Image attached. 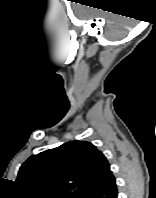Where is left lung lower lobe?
I'll list each match as a JSON object with an SVG mask.
<instances>
[{
    "instance_id": "obj_1",
    "label": "left lung lower lobe",
    "mask_w": 156,
    "mask_h": 198,
    "mask_svg": "<svg viewBox=\"0 0 156 198\" xmlns=\"http://www.w3.org/2000/svg\"><path fill=\"white\" fill-rule=\"evenodd\" d=\"M117 195L115 177L111 172L97 189L88 193L84 198H117Z\"/></svg>"
}]
</instances>
